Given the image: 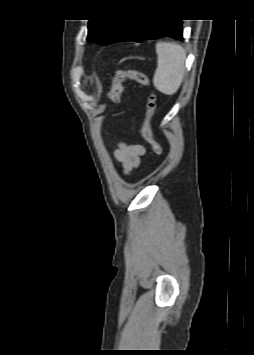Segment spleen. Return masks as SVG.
Segmentation results:
<instances>
[{"mask_svg":"<svg viewBox=\"0 0 254 355\" xmlns=\"http://www.w3.org/2000/svg\"><path fill=\"white\" fill-rule=\"evenodd\" d=\"M157 69L153 77L154 87L163 94H175L183 81L186 53L182 46L159 42L156 44Z\"/></svg>","mask_w":254,"mask_h":355,"instance_id":"obj_1","label":"spleen"}]
</instances>
